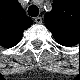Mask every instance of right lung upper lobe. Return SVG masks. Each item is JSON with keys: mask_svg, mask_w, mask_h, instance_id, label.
I'll use <instances>...</instances> for the list:
<instances>
[{"mask_svg": "<svg viewBox=\"0 0 80 80\" xmlns=\"http://www.w3.org/2000/svg\"><path fill=\"white\" fill-rule=\"evenodd\" d=\"M0 18V42L8 48L15 46L21 40L23 31L32 24L17 2L3 8Z\"/></svg>", "mask_w": 80, "mask_h": 80, "instance_id": "right-lung-upper-lobe-1", "label": "right lung upper lobe"}]
</instances>
